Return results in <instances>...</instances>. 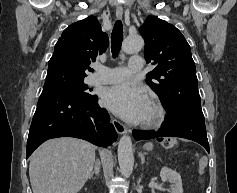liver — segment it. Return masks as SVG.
Here are the masks:
<instances>
[{
    "instance_id": "liver-1",
    "label": "liver",
    "mask_w": 237,
    "mask_h": 193,
    "mask_svg": "<svg viewBox=\"0 0 237 193\" xmlns=\"http://www.w3.org/2000/svg\"><path fill=\"white\" fill-rule=\"evenodd\" d=\"M95 150L91 143L76 138L44 142L30 158L33 193H78L92 172Z\"/></svg>"
}]
</instances>
